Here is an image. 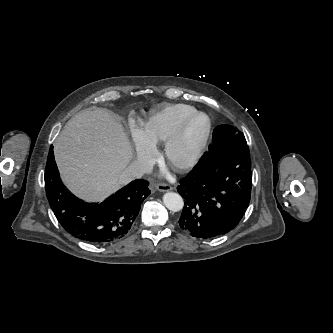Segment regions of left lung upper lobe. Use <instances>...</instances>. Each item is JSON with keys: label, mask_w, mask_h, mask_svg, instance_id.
I'll use <instances>...</instances> for the list:
<instances>
[{"label": "left lung upper lobe", "mask_w": 333, "mask_h": 333, "mask_svg": "<svg viewBox=\"0 0 333 333\" xmlns=\"http://www.w3.org/2000/svg\"><path fill=\"white\" fill-rule=\"evenodd\" d=\"M247 145L244 135H236L232 138H229L227 141H224L218 151L222 153L229 154L234 151L237 147Z\"/></svg>", "instance_id": "left-lung-upper-lobe-1"}]
</instances>
